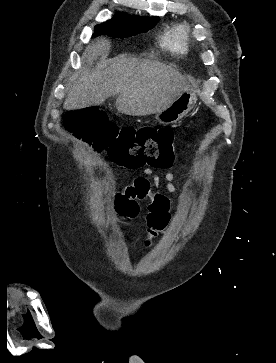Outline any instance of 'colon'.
Here are the masks:
<instances>
[{"label": "colon", "mask_w": 276, "mask_h": 363, "mask_svg": "<svg viewBox=\"0 0 276 363\" xmlns=\"http://www.w3.org/2000/svg\"><path fill=\"white\" fill-rule=\"evenodd\" d=\"M65 125L75 136L98 150H106L115 161L128 168H164L176 158L174 134L166 128H118L93 108L71 112ZM148 221L151 228L162 230L169 221L168 211L164 220H158L153 214L148 216Z\"/></svg>", "instance_id": "1"}]
</instances>
